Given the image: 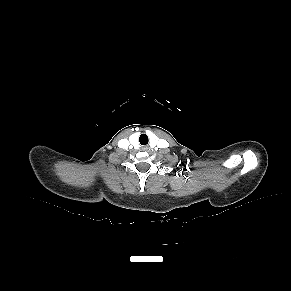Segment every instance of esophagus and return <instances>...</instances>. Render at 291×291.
<instances>
[{"mask_svg":"<svg viewBox=\"0 0 291 291\" xmlns=\"http://www.w3.org/2000/svg\"><path fill=\"white\" fill-rule=\"evenodd\" d=\"M142 150H143V151H147V150H148V147H147V146H143V147H142Z\"/></svg>","mask_w":291,"mask_h":291,"instance_id":"esophagus-1","label":"esophagus"}]
</instances>
